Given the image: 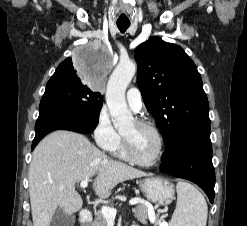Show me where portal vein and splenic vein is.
Masks as SVG:
<instances>
[{
    "label": "portal vein and splenic vein",
    "instance_id": "portal-vein-and-splenic-vein-1",
    "mask_svg": "<svg viewBox=\"0 0 247 226\" xmlns=\"http://www.w3.org/2000/svg\"><path fill=\"white\" fill-rule=\"evenodd\" d=\"M87 186H88V180H83V181L80 182V187L82 189L86 188ZM138 203H144V201L139 199V198H132L129 201L130 205H135V204H138ZM149 208H150L151 211H153V207L152 206H149ZM101 212H102V214L104 215V217L107 220H114L115 217H116V214H117V210L116 209L110 208V207H107V206H103L101 208ZM160 226H168V224L166 222H163Z\"/></svg>",
    "mask_w": 247,
    "mask_h": 226
}]
</instances>
